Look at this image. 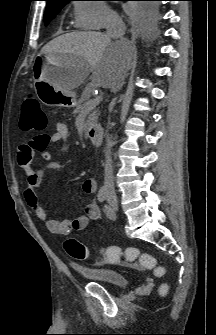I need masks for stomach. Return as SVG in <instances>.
<instances>
[{"instance_id": "obj_1", "label": "stomach", "mask_w": 216, "mask_h": 335, "mask_svg": "<svg viewBox=\"0 0 216 335\" xmlns=\"http://www.w3.org/2000/svg\"><path fill=\"white\" fill-rule=\"evenodd\" d=\"M38 57L34 65L35 90L40 101L48 106L72 108L77 105L76 94L60 89L58 82L71 66L72 59L68 55Z\"/></svg>"}]
</instances>
